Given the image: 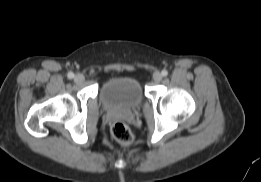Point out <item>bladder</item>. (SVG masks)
<instances>
[{
    "instance_id": "obj_1",
    "label": "bladder",
    "mask_w": 261,
    "mask_h": 182,
    "mask_svg": "<svg viewBox=\"0 0 261 182\" xmlns=\"http://www.w3.org/2000/svg\"><path fill=\"white\" fill-rule=\"evenodd\" d=\"M99 99L108 111L129 112L142 104L143 92L134 78L112 77L101 85Z\"/></svg>"
}]
</instances>
